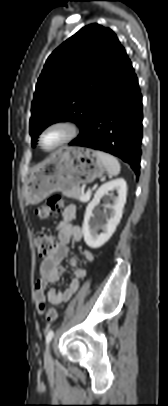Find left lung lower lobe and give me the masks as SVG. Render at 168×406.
I'll list each match as a JSON object with an SVG mask.
<instances>
[{"label": "left lung lower lobe", "instance_id": "obj_1", "mask_svg": "<svg viewBox=\"0 0 168 406\" xmlns=\"http://www.w3.org/2000/svg\"><path fill=\"white\" fill-rule=\"evenodd\" d=\"M142 97L132 63L123 53L79 136L69 145L108 152L131 165L138 177L142 141Z\"/></svg>", "mask_w": 168, "mask_h": 406}]
</instances>
